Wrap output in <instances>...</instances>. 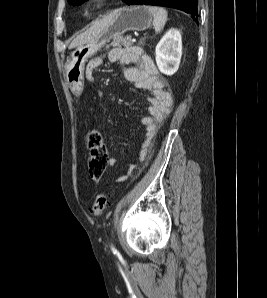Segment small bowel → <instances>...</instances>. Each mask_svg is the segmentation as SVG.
<instances>
[{
	"mask_svg": "<svg viewBox=\"0 0 267 298\" xmlns=\"http://www.w3.org/2000/svg\"><path fill=\"white\" fill-rule=\"evenodd\" d=\"M108 59L121 66L127 81L151 92L147 99L148 116L142 121L146 130V138L140 148L139 155L141 159H144L154 135L171 111L173 104L171 94L166 89V81L160 77L153 60L140 48H113L108 53ZM101 64L102 58L100 57L94 58L88 63L86 78L89 83H94L95 73ZM97 96L99 98L103 97V92L98 91ZM115 162L116 160L113 158L109 160L111 165ZM125 178L126 176L122 175L118 178V181H124Z\"/></svg>",
	"mask_w": 267,
	"mask_h": 298,
	"instance_id": "c3829d8e",
	"label": "small bowel"
}]
</instances>
